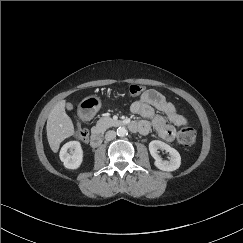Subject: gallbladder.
Segmentation results:
<instances>
[{
	"label": "gallbladder",
	"instance_id": "1",
	"mask_svg": "<svg viewBox=\"0 0 243 243\" xmlns=\"http://www.w3.org/2000/svg\"><path fill=\"white\" fill-rule=\"evenodd\" d=\"M67 110L71 111L73 109V105L71 103L66 104Z\"/></svg>",
	"mask_w": 243,
	"mask_h": 243
}]
</instances>
